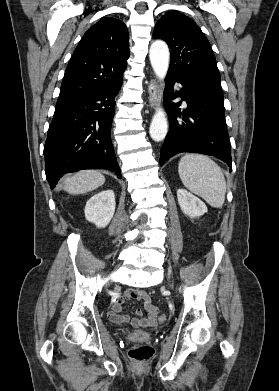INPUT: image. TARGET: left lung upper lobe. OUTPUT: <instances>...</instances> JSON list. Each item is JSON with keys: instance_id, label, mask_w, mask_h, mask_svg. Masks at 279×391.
Listing matches in <instances>:
<instances>
[{"instance_id": "5c2ea615", "label": "left lung upper lobe", "mask_w": 279, "mask_h": 391, "mask_svg": "<svg viewBox=\"0 0 279 391\" xmlns=\"http://www.w3.org/2000/svg\"><path fill=\"white\" fill-rule=\"evenodd\" d=\"M153 37L170 50L167 75L223 102L220 73L210 43L197 24L180 12L170 11L156 23Z\"/></svg>"}]
</instances>
